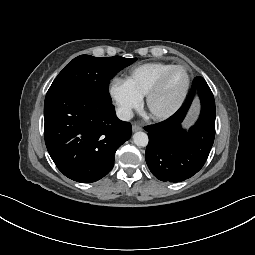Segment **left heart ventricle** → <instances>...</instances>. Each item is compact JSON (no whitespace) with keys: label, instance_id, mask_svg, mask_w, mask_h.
Masks as SVG:
<instances>
[{"label":"left heart ventricle","instance_id":"left-heart-ventricle-1","mask_svg":"<svg viewBox=\"0 0 255 255\" xmlns=\"http://www.w3.org/2000/svg\"><path fill=\"white\" fill-rule=\"evenodd\" d=\"M187 82L184 70H174L167 78L161 91L155 96L151 107L154 111L164 112L170 109L178 100Z\"/></svg>","mask_w":255,"mask_h":255}]
</instances>
